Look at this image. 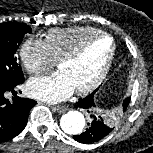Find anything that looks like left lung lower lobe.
<instances>
[{
    "label": "left lung lower lobe",
    "instance_id": "0a47b994",
    "mask_svg": "<svg viewBox=\"0 0 153 153\" xmlns=\"http://www.w3.org/2000/svg\"><path fill=\"white\" fill-rule=\"evenodd\" d=\"M130 98H128L123 103V109H126L129 104ZM84 108L87 109L88 113H92L90 115L91 122L88 123L89 127L85 132L80 135L73 136V139L80 143H93L96 142L106 135H108L113 127L110 126L104 117L98 116L94 113V108L96 107L94 102V92L85 97L84 99L77 102L76 108Z\"/></svg>",
    "mask_w": 153,
    "mask_h": 153
}]
</instances>
